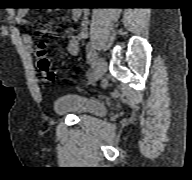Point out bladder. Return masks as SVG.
I'll use <instances>...</instances> for the list:
<instances>
[{
    "mask_svg": "<svg viewBox=\"0 0 192 180\" xmlns=\"http://www.w3.org/2000/svg\"><path fill=\"white\" fill-rule=\"evenodd\" d=\"M54 111L59 115L74 114L79 117L86 114H99L105 110L102 102L88 99L77 94H65L55 99Z\"/></svg>",
    "mask_w": 192,
    "mask_h": 180,
    "instance_id": "1",
    "label": "bladder"
}]
</instances>
